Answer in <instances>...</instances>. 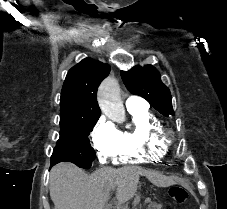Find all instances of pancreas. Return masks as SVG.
<instances>
[{
	"label": "pancreas",
	"mask_w": 227,
	"mask_h": 209,
	"mask_svg": "<svg viewBox=\"0 0 227 209\" xmlns=\"http://www.w3.org/2000/svg\"><path fill=\"white\" fill-rule=\"evenodd\" d=\"M151 209H156V207L155 206H152Z\"/></svg>",
	"instance_id": "cf45deb5"
}]
</instances>
